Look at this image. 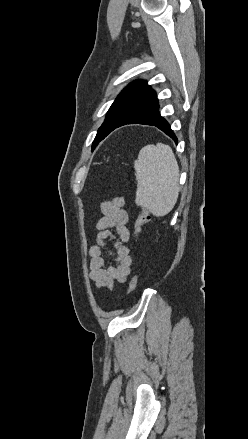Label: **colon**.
<instances>
[{"label": "colon", "instance_id": "obj_1", "mask_svg": "<svg viewBox=\"0 0 248 439\" xmlns=\"http://www.w3.org/2000/svg\"><path fill=\"white\" fill-rule=\"evenodd\" d=\"M150 220V215L145 209H141L138 215V218L135 223V238L138 239L141 234L143 226ZM138 284V276L134 275L128 285V294H132L137 287Z\"/></svg>", "mask_w": 248, "mask_h": 439}]
</instances>
